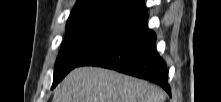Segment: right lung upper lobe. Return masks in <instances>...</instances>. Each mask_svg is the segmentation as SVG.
<instances>
[{
	"mask_svg": "<svg viewBox=\"0 0 221 102\" xmlns=\"http://www.w3.org/2000/svg\"><path fill=\"white\" fill-rule=\"evenodd\" d=\"M98 2H108L122 7L132 8L146 13V6L141 0H77L73 10Z\"/></svg>",
	"mask_w": 221,
	"mask_h": 102,
	"instance_id": "right-lung-upper-lobe-1",
	"label": "right lung upper lobe"
}]
</instances>
